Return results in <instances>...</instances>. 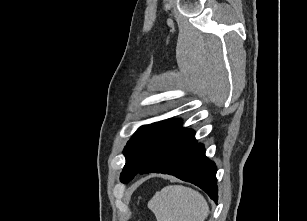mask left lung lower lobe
I'll list each match as a JSON object with an SVG mask.
<instances>
[{
    "label": "left lung lower lobe",
    "mask_w": 307,
    "mask_h": 221,
    "mask_svg": "<svg viewBox=\"0 0 307 221\" xmlns=\"http://www.w3.org/2000/svg\"><path fill=\"white\" fill-rule=\"evenodd\" d=\"M195 133L189 130L166 147L154 160L138 173H163L191 182L215 202L218 200L216 166L205 156V149L198 144Z\"/></svg>",
    "instance_id": "1"
}]
</instances>
